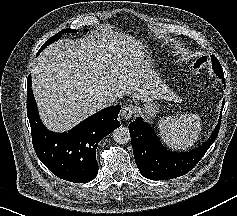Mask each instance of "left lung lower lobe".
<instances>
[{
	"label": "left lung lower lobe",
	"mask_w": 237,
	"mask_h": 216,
	"mask_svg": "<svg viewBox=\"0 0 237 216\" xmlns=\"http://www.w3.org/2000/svg\"><path fill=\"white\" fill-rule=\"evenodd\" d=\"M222 81L225 84V80ZM223 107L224 105L222 109ZM219 128L220 121L210 139L199 148L186 153H176L166 150L150 125L141 118H136V121L129 125L136 165L141 174L151 180L182 176L193 169L204 156L215 141Z\"/></svg>",
	"instance_id": "left-lung-lower-lobe-1"
}]
</instances>
